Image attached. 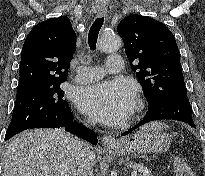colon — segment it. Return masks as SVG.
I'll return each instance as SVG.
<instances>
[{
  "label": "colon",
  "mask_w": 205,
  "mask_h": 176,
  "mask_svg": "<svg viewBox=\"0 0 205 176\" xmlns=\"http://www.w3.org/2000/svg\"><path fill=\"white\" fill-rule=\"evenodd\" d=\"M173 169L175 176H194L189 164L181 158L175 160Z\"/></svg>",
  "instance_id": "1"
}]
</instances>
